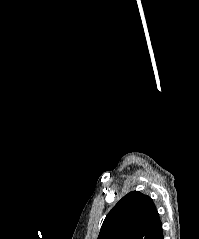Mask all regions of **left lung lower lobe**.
Masks as SVG:
<instances>
[{
  "mask_svg": "<svg viewBox=\"0 0 199 239\" xmlns=\"http://www.w3.org/2000/svg\"><path fill=\"white\" fill-rule=\"evenodd\" d=\"M153 239H164L163 238V229H162V223L160 224L155 236L153 237Z\"/></svg>",
  "mask_w": 199,
  "mask_h": 239,
  "instance_id": "obj_1",
  "label": "left lung lower lobe"
}]
</instances>
